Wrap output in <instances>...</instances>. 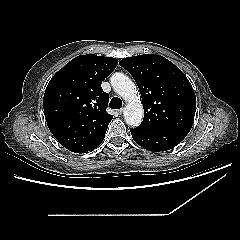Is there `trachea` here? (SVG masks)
<instances>
[{
  "label": "trachea",
  "instance_id": "1",
  "mask_svg": "<svg viewBox=\"0 0 240 240\" xmlns=\"http://www.w3.org/2000/svg\"><path fill=\"white\" fill-rule=\"evenodd\" d=\"M109 107L112 109H120L122 107V101L118 97H114L111 99L109 103Z\"/></svg>",
  "mask_w": 240,
  "mask_h": 240
}]
</instances>
